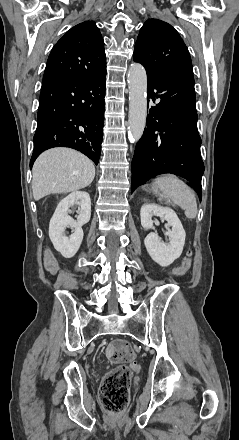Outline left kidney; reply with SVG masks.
<instances>
[{"mask_svg": "<svg viewBox=\"0 0 239 440\" xmlns=\"http://www.w3.org/2000/svg\"><path fill=\"white\" fill-rule=\"evenodd\" d=\"M141 226L145 230L153 228V224H157V220H152L153 216H158L161 220H166L167 226H171V230L165 232V236H169V244L160 242L158 234L150 232L144 240L145 248L151 256L152 260L159 266H170L174 260L180 258L185 244V230L175 212L171 208H162L157 204H143L140 210Z\"/></svg>", "mask_w": 239, "mask_h": 440, "instance_id": "5707ae66", "label": "left kidney"}]
</instances>
